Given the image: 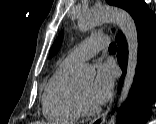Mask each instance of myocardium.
Segmentation results:
<instances>
[{"label": "myocardium", "instance_id": "obj_1", "mask_svg": "<svg viewBox=\"0 0 156 124\" xmlns=\"http://www.w3.org/2000/svg\"><path fill=\"white\" fill-rule=\"evenodd\" d=\"M77 93L82 111L85 114L92 115L100 110V106L98 104H92L79 88V86H77Z\"/></svg>", "mask_w": 156, "mask_h": 124}]
</instances>
